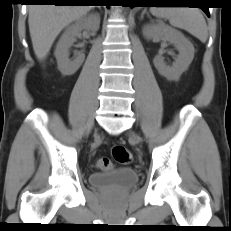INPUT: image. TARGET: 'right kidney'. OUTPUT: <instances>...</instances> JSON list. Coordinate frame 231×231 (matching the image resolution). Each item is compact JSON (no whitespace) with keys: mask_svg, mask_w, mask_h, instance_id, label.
<instances>
[{"mask_svg":"<svg viewBox=\"0 0 231 231\" xmlns=\"http://www.w3.org/2000/svg\"><path fill=\"white\" fill-rule=\"evenodd\" d=\"M99 25V15L91 14L68 27L65 33L61 36L54 54L57 59L58 69L63 75H73L79 69L85 59V55L82 52L76 53L73 59H69V49L75 42V38L80 36L82 30L92 32L97 31L99 29Z\"/></svg>","mask_w":231,"mask_h":231,"instance_id":"right-kidney-1","label":"right kidney"}]
</instances>
